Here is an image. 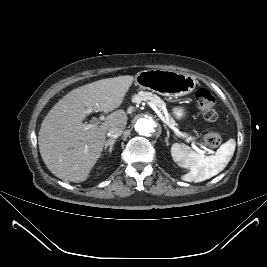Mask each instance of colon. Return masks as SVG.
Listing matches in <instances>:
<instances>
[{"label":"colon","instance_id":"1","mask_svg":"<svg viewBox=\"0 0 267 267\" xmlns=\"http://www.w3.org/2000/svg\"><path fill=\"white\" fill-rule=\"evenodd\" d=\"M198 105L204 118L209 122L218 119L217 101L212 93L206 88H199L195 93ZM209 147H217L221 143V136L215 130H208L203 137Z\"/></svg>","mask_w":267,"mask_h":267}]
</instances>
